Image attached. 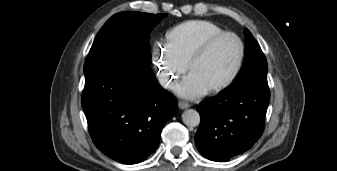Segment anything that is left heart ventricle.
I'll return each instance as SVG.
<instances>
[{"label": "left heart ventricle", "mask_w": 337, "mask_h": 171, "mask_svg": "<svg viewBox=\"0 0 337 171\" xmlns=\"http://www.w3.org/2000/svg\"><path fill=\"white\" fill-rule=\"evenodd\" d=\"M239 56V46L234 38L226 37L218 41L197 62L194 73L208 88L224 81L232 72Z\"/></svg>", "instance_id": "b2bd125f"}]
</instances>
